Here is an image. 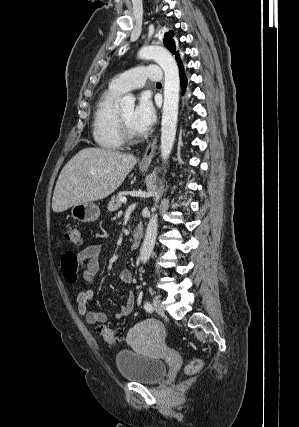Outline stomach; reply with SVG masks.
<instances>
[{
	"instance_id": "1",
	"label": "stomach",
	"mask_w": 299,
	"mask_h": 427,
	"mask_svg": "<svg viewBox=\"0 0 299 427\" xmlns=\"http://www.w3.org/2000/svg\"><path fill=\"white\" fill-rule=\"evenodd\" d=\"M140 170L146 171L147 166H141ZM71 215L75 220L81 222H94L100 216V209L92 202L82 203L72 206Z\"/></svg>"
}]
</instances>
